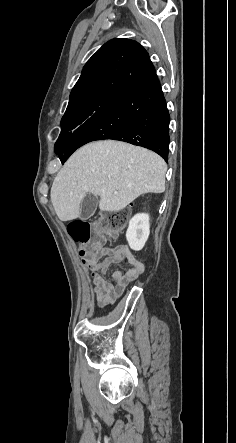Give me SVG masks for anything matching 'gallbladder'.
I'll use <instances>...</instances> for the list:
<instances>
[{
  "label": "gallbladder",
  "mask_w": 236,
  "mask_h": 443,
  "mask_svg": "<svg viewBox=\"0 0 236 443\" xmlns=\"http://www.w3.org/2000/svg\"><path fill=\"white\" fill-rule=\"evenodd\" d=\"M98 203V196L87 193L81 202L80 218L83 220L90 218L94 214Z\"/></svg>",
  "instance_id": "gallbladder-1"
}]
</instances>
